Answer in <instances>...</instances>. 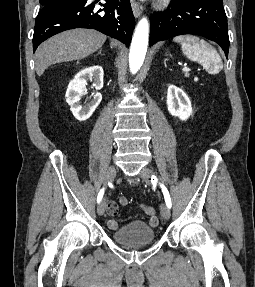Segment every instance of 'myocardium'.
<instances>
[{"instance_id": "f54148a6", "label": "myocardium", "mask_w": 255, "mask_h": 287, "mask_svg": "<svg viewBox=\"0 0 255 287\" xmlns=\"http://www.w3.org/2000/svg\"><path fill=\"white\" fill-rule=\"evenodd\" d=\"M146 39H149V38H146ZM157 39H160V38H157ZM163 48H168V47H163Z\"/></svg>"}]
</instances>
